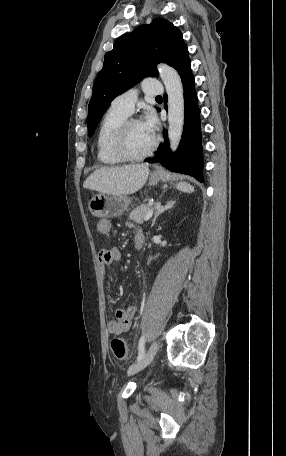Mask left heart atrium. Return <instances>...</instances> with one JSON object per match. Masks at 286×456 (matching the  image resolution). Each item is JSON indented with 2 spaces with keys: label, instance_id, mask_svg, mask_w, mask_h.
Wrapping results in <instances>:
<instances>
[{
  "label": "left heart atrium",
  "instance_id": "obj_1",
  "mask_svg": "<svg viewBox=\"0 0 286 456\" xmlns=\"http://www.w3.org/2000/svg\"><path fill=\"white\" fill-rule=\"evenodd\" d=\"M147 132L154 138L158 128L157 119L152 111H147L144 120L141 122Z\"/></svg>",
  "mask_w": 286,
  "mask_h": 456
}]
</instances>
